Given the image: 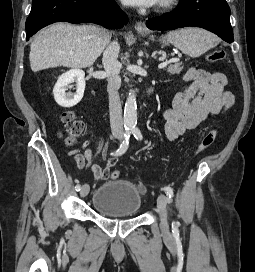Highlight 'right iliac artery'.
<instances>
[{"label":"right iliac artery","instance_id":"1","mask_svg":"<svg viewBox=\"0 0 255 272\" xmlns=\"http://www.w3.org/2000/svg\"><path fill=\"white\" fill-rule=\"evenodd\" d=\"M130 134H131L130 129H126L125 133H124L123 142L121 143L120 147L114 153H112L114 156H120V155L124 154L127 151L128 145H129ZM80 189H81L80 184H77L75 186V190L80 191Z\"/></svg>","mask_w":255,"mask_h":272}]
</instances>
